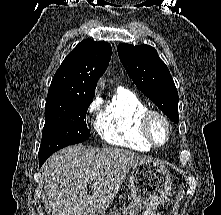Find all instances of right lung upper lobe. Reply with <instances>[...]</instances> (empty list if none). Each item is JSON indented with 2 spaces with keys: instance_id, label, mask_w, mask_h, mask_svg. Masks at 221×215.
<instances>
[{
  "instance_id": "cb5924a9",
  "label": "right lung upper lobe",
  "mask_w": 221,
  "mask_h": 215,
  "mask_svg": "<svg viewBox=\"0 0 221 215\" xmlns=\"http://www.w3.org/2000/svg\"><path fill=\"white\" fill-rule=\"evenodd\" d=\"M112 49L107 42L85 39L63 60L51 82L46 104L93 101L98 79L105 72Z\"/></svg>"
}]
</instances>
